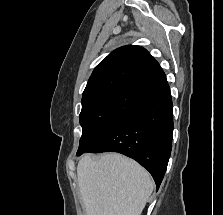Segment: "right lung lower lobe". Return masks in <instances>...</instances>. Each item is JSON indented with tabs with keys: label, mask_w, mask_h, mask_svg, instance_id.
<instances>
[{
	"label": "right lung lower lobe",
	"mask_w": 223,
	"mask_h": 215,
	"mask_svg": "<svg viewBox=\"0 0 223 215\" xmlns=\"http://www.w3.org/2000/svg\"><path fill=\"white\" fill-rule=\"evenodd\" d=\"M173 106L168 84L133 105L88 151L118 152L133 158L153 176L157 190L172 149Z\"/></svg>",
	"instance_id": "1"
}]
</instances>
